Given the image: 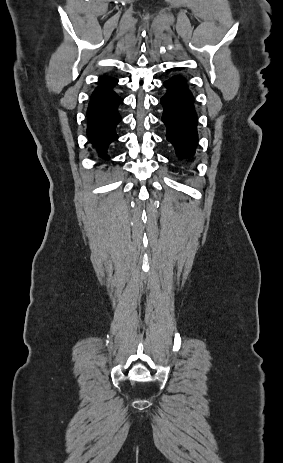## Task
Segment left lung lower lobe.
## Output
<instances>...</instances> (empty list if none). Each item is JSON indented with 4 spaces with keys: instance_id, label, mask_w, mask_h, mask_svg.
<instances>
[{
    "instance_id": "1",
    "label": "left lung lower lobe",
    "mask_w": 283,
    "mask_h": 463,
    "mask_svg": "<svg viewBox=\"0 0 283 463\" xmlns=\"http://www.w3.org/2000/svg\"><path fill=\"white\" fill-rule=\"evenodd\" d=\"M166 94L161 98L164 107L162 121L167 127V140L180 158L194 154L197 145V118L193 96L182 77L174 76L164 82Z\"/></svg>"
}]
</instances>
